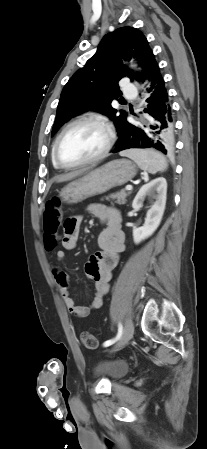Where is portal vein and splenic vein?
Wrapping results in <instances>:
<instances>
[{
  "label": "portal vein and splenic vein",
  "mask_w": 207,
  "mask_h": 449,
  "mask_svg": "<svg viewBox=\"0 0 207 449\" xmlns=\"http://www.w3.org/2000/svg\"><path fill=\"white\" fill-rule=\"evenodd\" d=\"M127 191L132 190V185H127L125 188Z\"/></svg>",
  "instance_id": "18ae733b"
}]
</instances>
